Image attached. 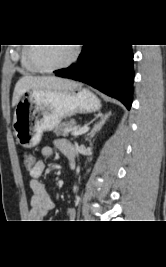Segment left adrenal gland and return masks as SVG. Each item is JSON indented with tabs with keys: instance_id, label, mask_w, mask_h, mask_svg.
I'll return each mask as SVG.
<instances>
[{
	"instance_id": "1",
	"label": "left adrenal gland",
	"mask_w": 166,
	"mask_h": 267,
	"mask_svg": "<svg viewBox=\"0 0 166 267\" xmlns=\"http://www.w3.org/2000/svg\"><path fill=\"white\" fill-rule=\"evenodd\" d=\"M111 113H107L105 115L99 113L96 118H100V120L94 124L93 128L91 129V131L87 134V137L85 138V140H90L96 132L100 131L102 126L104 125L105 121L108 119V117L110 116Z\"/></svg>"
}]
</instances>
